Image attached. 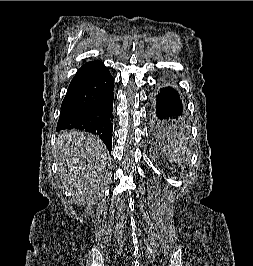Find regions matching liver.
I'll return each instance as SVG.
<instances>
[{"mask_svg": "<svg viewBox=\"0 0 253 266\" xmlns=\"http://www.w3.org/2000/svg\"><path fill=\"white\" fill-rule=\"evenodd\" d=\"M57 160L61 181L84 205L96 194L105 170L107 149L101 139L83 131H63L57 137Z\"/></svg>", "mask_w": 253, "mask_h": 266, "instance_id": "1", "label": "liver"}]
</instances>
